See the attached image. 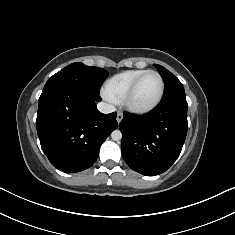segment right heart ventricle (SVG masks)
Masks as SVG:
<instances>
[{
	"label": "right heart ventricle",
	"instance_id": "1",
	"mask_svg": "<svg viewBox=\"0 0 235 235\" xmlns=\"http://www.w3.org/2000/svg\"><path fill=\"white\" fill-rule=\"evenodd\" d=\"M145 71L147 70L132 69L115 74L105 82L103 91L110 96L113 101L119 102L122 100L133 81Z\"/></svg>",
	"mask_w": 235,
	"mask_h": 235
}]
</instances>
